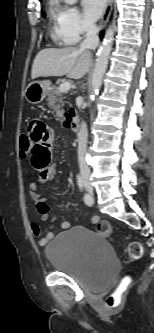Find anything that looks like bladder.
<instances>
[{
	"label": "bladder",
	"instance_id": "bladder-1",
	"mask_svg": "<svg viewBox=\"0 0 154 333\" xmlns=\"http://www.w3.org/2000/svg\"><path fill=\"white\" fill-rule=\"evenodd\" d=\"M44 257L54 270L98 287L111 280L117 266L107 239L82 225L55 235L46 245Z\"/></svg>",
	"mask_w": 154,
	"mask_h": 333
}]
</instances>
